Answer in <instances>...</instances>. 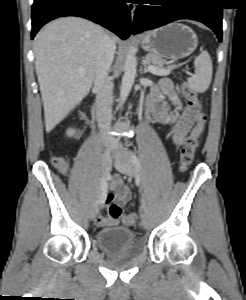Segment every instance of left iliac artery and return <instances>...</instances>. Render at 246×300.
<instances>
[{"instance_id":"1","label":"left iliac artery","mask_w":246,"mask_h":300,"mask_svg":"<svg viewBox=\"0 0 246 300\" xmlns=\"http://www.w3.org/2000/svg\"><path fill=\"white\" fill-rule=\"evenodd\" d=\"M132 161L135 164L136 168L138 170H140L141 169V164H140V161H139V159L137 158V156L135 154H132Z\"/></svg>"}]
</instances>
